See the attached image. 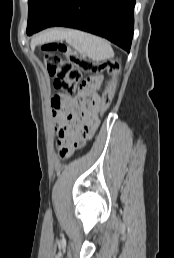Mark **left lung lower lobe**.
Instances as JSON below:
<instances>
[{
    "label": "left lung lower lobe",
    "instance_id": "0a47b994",
    "mask_svg": "<svg viewBox=\"0 0 174 258\" xmlns=\"http://www.w3.org/2000/svg\"><path fill=\"white\" fill-rule=\"evenodd\" d=\"M134 6L135 0H59L33 33L70 27L104 37L129 52Z\"/></svg>",
    "mask_w": 174,
    "mask_h": 258
}]
</instances>
